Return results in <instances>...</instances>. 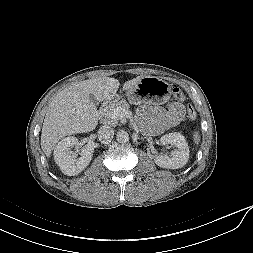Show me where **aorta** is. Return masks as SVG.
<instances>
[{"mask_svg": "<svg viewBox=\"0 0 253 253\" xmlns=\"http://www.w3.org/2000/svg\"><path fill=\"white\" fill-rule=\"evenodd\" d=\"M117 141L120 143H125L129 141V134L125 130H120L116 135Z\"/></svg>", "mask_w": 253, "mask_h": 253, "instance_id": "obj_1", "label": "aorta"}]
</instances>
